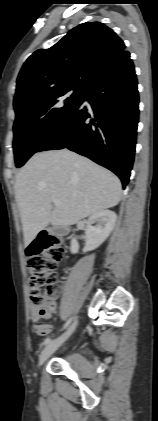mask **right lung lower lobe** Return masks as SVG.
I'll list each match as a JSON object with an SVG mask.
<instances>
[{
	"instance_id": "1",
	"label": "right lung lower lobe",
	"mask_w": 158,
	"mask_h": 421,
	"mask_svg": "<svg viewBox=\"0 0 158 421\" xmlns=\"http://www.w3.org/2000/svg\"><path fill=\"white\" fill-rule=\"evenodd\" d=\"M138 104L134 65L126 52L89 80L79 103L36 152L68 148L113 171L125 188L134 161Z\"/></svg>"
}]
</instances>
